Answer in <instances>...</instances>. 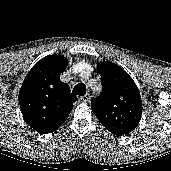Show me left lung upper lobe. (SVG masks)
I'll return each mask as SVG.
<instances>
[{
    "mask_svg": "<svg viewBox=\"0 0 171 171\" xmlns=\"http://www.w3.org/2000/svg\"><path fill=\"white\" fill-rule=\"evenodd\" d=\"M102 93L91 100L92 111L111 133L127 135L141 119L142 102L133 79L118 65L100 62Z\"/></svg>",
    "mask_w": 171,
    "mask_h": 171,
    "instance_id": "5c2ea615",
    "label": "left lung upper lobe"
}]
</instances>
